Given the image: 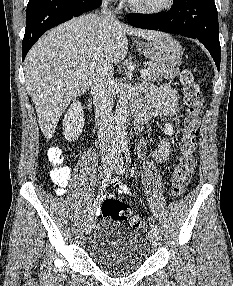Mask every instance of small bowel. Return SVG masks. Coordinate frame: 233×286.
Here are the masks:
<instances>
[{"mask_svg": "<svg viewBox=\"0 0 233 286\" xmlns=\"http://www.w3.org/2000/svg\"><path fill=\"white\" fill-rule=\"evenodd\" d=\"M147 89L150 95L146 97L145 106L142 110L146 119L158 115L174 116L177 114L178 95L171 86L164 84L158 88L148 86ZM152 158L160 164L165 163L171 158V140L169 138L162 140ZM64 168L69 171L68 167ZM111 184L122 194L130 192V188L116 178L111 181Z\"/></svg>", "mask_w": 233, "mask_h": 286, "instance_id": "obj_1", "label": "small bowel"}]
</instances>
